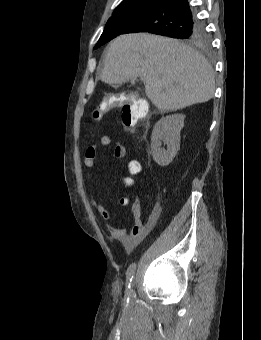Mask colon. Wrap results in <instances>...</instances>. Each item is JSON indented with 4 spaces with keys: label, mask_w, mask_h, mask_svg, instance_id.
Segmentation results:
<instances>
[{
    "label": "colon",
    "mask_w": 261,
    "mask_h": 340,
    "mask_svg": "<svg viewBox=\"0 0 261 340\" xmlns=\"http://www.w3.org/2000/svg\"><path fill=\"white\" fill-rule=\"evenodd\" d=\"M115 106V101L105 99L91 111L90 117L93 122L99 121L111 108ZM148 113L147 103L143 100H131L126 103L122 108V121L125 127L129 130H133L136 124L143 120ZM130 170L132 173L137 174L141 170V166L138 162L134 161L130 164ZM131 183V182H128Z\"/></svg>",
    "instance_id": "obj_1"
}]
</instances>
